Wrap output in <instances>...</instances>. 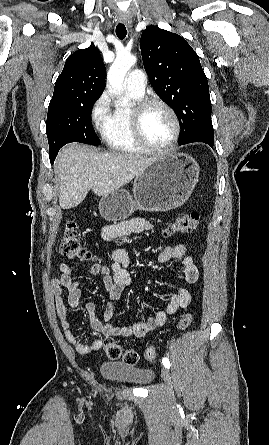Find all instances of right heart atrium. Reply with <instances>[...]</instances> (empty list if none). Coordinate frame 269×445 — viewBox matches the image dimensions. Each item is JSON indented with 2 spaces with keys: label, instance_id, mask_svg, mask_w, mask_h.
Segmentation results:
<instances>
[{
  "label": "right heart atrium",
  "instance_id": "right-heart-atrium-1",
  "mask_svg": "<svg viewBox=\"0 0 269 445\" xmlns=\"http://www.w3.org/2000/svg\"><path fill=\"white\" fill-rule=\"evenodd\" d=\"M109 114V97L107 93H103L92 105L91 118L97 126H101Z\"/></svg>",
  "mask_w": 269,
  "mask_h": 445
}]
</instances>
